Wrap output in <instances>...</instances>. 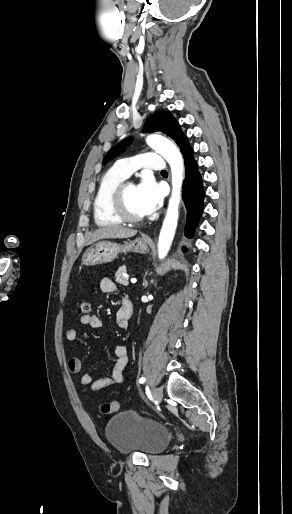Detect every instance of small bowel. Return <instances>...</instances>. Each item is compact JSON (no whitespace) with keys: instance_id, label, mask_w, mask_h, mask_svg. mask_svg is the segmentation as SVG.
<instances>
[{"instance_id":"obj_1","label":"small bowel","mask_w":292,"mask_h":514,"mask_svg":"<svg viewBox=\"0 0 292 514\" xmlns=\"http://www.w3.org/2000/svg\"><path fill=\"white\" fill-rule=\"evenodd\" d=\"M100 289L105 294H113L116 292V284L110 278H102L100 281ZM129 319L122 308L119 306L116 310V325L119 329H127L129 326ZM80 324L89 326L92 329H100L102 327V320L97 314H89L80 317ZM69 341H76L79 337L77 328H69L66 333ZM114 353L117 361L114 364L111 373L103 378L93 380L92 374L85 373L80 379V385H89L92 391H100L118 384L125 380L124 369L128 363V349L125 345H117L114 348ZM68 368L72 374H79L83 369V361L78 357H72L68 361Z\"/></svg>"}]
</instances>
